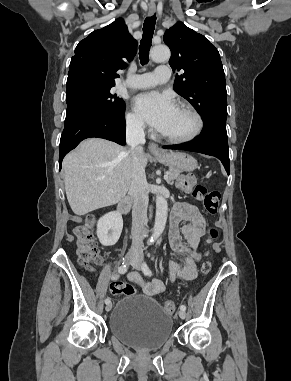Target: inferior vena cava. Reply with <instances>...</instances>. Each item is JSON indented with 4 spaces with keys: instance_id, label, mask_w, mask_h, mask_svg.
<instances>
[{
    "instance_id": "obj_1",
    "label": "inferior vena cava",
    "mask_w": 291,
    "mask_h": 381,
    "mask_svg": "<svg viewBox=\"0 0 291 381\" xmlns=\"http://www.w3.org/2000/svg\"><path fill=\"white\" fill-rule=\"evenodd\" d=\"M126 142L130 147L132 177L129 195L133 198L132 210V245L130 254H141L143 230L147 223L148 193L144 165L142 163L145 134L143 123L137 120L126 125Z\"/></svg>"
}]
</instances>
